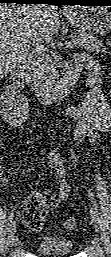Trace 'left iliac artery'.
<instances>
[{"mask_svg":"<svg viewBox=\"0 0 111 257\" xmlns=\"http://www.w3.org/2000/svg\"><path fill=\"white\" fill-rule=\"evenodd\" d=\"M88 193H89V196L91 197V199L93 200L94 199L93 198V193L90 190H88ZM93 203H94V205H96L94 201H93Z\"/></svg>","mask_w":111,"mask_h":257,"instance_id":"44dca946","label":"left iliac artery"}]
</instances>
